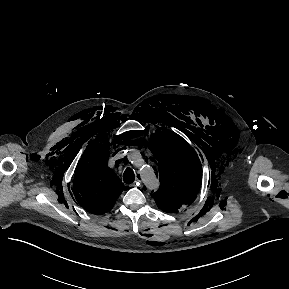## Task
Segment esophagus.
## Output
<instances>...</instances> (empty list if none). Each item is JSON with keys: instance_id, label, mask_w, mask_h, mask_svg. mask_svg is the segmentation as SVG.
<instances>
[{"instance_id": "esophagus-1", "label": "esophagus", "mask_w": 289, "mask_h": 289, "mask_svg": "<svg viewBox=\"0 0 289 289\" xmlns=\"http://www.w3.org/2000/svg\"><path fill=\"white\" fill-rule=\"evenodd\" d=\"M140 184V180H139V178H136V181H135V183H133L131 186H137V185H139Z\"/></svg>"}]
</instances>
